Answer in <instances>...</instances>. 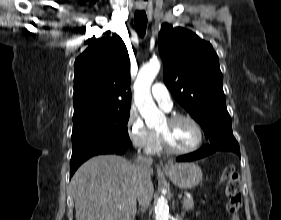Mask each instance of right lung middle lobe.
Returning a JSON list of instances; mask_svg holds the SVG:
<instances>
[{
  "label": "right lung middle lobe",
  "mask_w": 281,
  "mask_h": 220,
  "mask_svg": "<svg viewBox=\"0 0 281 220\" xmlns=\"http://www.w3.org/2000/svg\"><path fill=\"white\" fill-rule=\"evenodd\" d=\"M130 109L114 110L73 118V152L90 146H131L127 123Z\"/></svg>",
  "instance_id": "dd1d6c3e"
}]
</instances>
